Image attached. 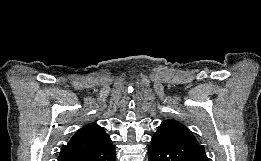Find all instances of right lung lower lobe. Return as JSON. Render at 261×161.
<instances>
[{
	"mask_svg": "<svg viewBox=\"0 0 261 161\" xmlns=\"http://www.w3.org/2000/svg\"><path fill=\"white\" fill-rule=\"evenodd\" d=\"M58 161H116L115 145L110 143L98 150L62 156Z\"/></svg>",
	"mask_w": 261,
	"mask_h": 161,
	"instance_id": "98d812e1",
	"label": "right lung lower lobe"
}]
</instances>
